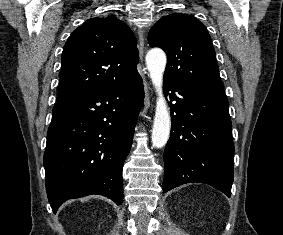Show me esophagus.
Masks as SVG:
<instances>
[{"instance_id": "esophagus-1", "label": "esophagus", "mask_w": 283, "mask_h": 235, "mask_svg": "<svg viewBox=\"0 0 283 235\" xmlns=\"http://www.w3.org/2000/svg\"><path fill=\"white\" fill-rule=\"evenodd\" d=\"M139 35V56H140V60L143 61V56H144V36L142 31L140 30L138 32Z\"/></svg>"}]
</instances>
